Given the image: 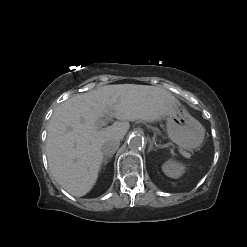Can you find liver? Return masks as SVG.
Wrapping results in <instances>:
<instances>
[{
	"mask_svg": "<svg viewBox=\"0 0 247 247\" xmlns=\"http://www.w3.org/2000/svg\"><path fill=\"white\" fill-rule=\"evenodd\" d=\"M175 101L165 89L136 84L106 85L72 96L49 121L46 153L51 175L71 195H86L98 178L103 143L122 140L129 121L160 120ZM105 115L119 122L100 129L99 120Z\"/></svg>",
	"mask_w": 247,
	"mask_h": 247,
	"instance_id": "obj_1",
	"label": "liver"
}]
</instances>
